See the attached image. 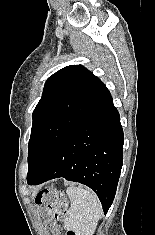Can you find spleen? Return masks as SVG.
Here are the masks:
<instances>
[{
    "instance_id": "3e777b00",
    "label": "spleen",
    "mask_w": 155,
    "mask_h": 235,
    "mask_svg": "<svg viewBox=\"0 0 155 235\" xmlns=\"http://www.w3.org/2000/svg\"><path fill=\"white\" fill-rule=\"evenodd\" d=\"M71 200L70 209L64 220V228L76 235H93L102 214L101 203L95 193L71 186L67 189Z\"/></svg>"
}]
</instances>
